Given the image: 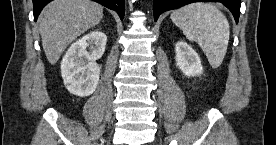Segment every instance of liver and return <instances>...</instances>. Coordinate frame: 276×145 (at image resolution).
I'll return each mask as SVG.
<instances>
[{
	"label": "liver",
	"instance_id": "obj_1",
	"mask_svg": "<svg viewBox=\"0 0 276 145\" xmlns=\"http://www.w3.org/2000/svg\"><path fill=\"white\" fill-rule=\"evenodd\" d=\"M103 7L91 0H54L41 12L38 23L45 55L51 65L81 34L96 26Z\"/></svg>",
	"mask_w": 276,
	"mask_h": 145
}]
</instances>
